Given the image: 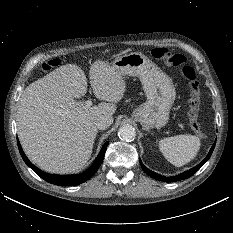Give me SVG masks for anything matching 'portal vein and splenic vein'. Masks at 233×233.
I'll return each mask as SVG.
<instances>
[{"instance_id": "portal-vein-and-splenic-vein-1", "label": "portal vein and splenic vein", "mask_w": 233, "mask_h": 233, "mask_svg": "<svg viewBox=\"0 0 233 233\" xmlns=\"http://www.w3.org/2000/svg\"><path fill=\"white\" fill-rule=\"evenodd\" d=\"M84 105H85V107L89 108V107L92 106V101L89 99V100H87V101L85 102Z\"/></svg>"}]
</instances>
